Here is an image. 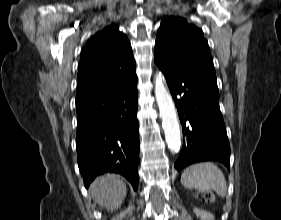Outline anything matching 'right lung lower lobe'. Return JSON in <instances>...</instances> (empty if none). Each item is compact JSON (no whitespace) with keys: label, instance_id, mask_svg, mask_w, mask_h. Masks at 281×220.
<instances>
[{"label":"right lung lower lobe","instance_id":"1","mask_svg":"<svg viewBox=\"0 0 281 220\" xmlns=\"http://www.w3.org/2000/svg\"><path fill=\"white\" fill-rule=\"evenodd\" d=\"M137 79L116 92L76 105V149L84 185L113 172L138 188Z\"/></svg>","mask_w":281,"mask_h":220}]
</instances>
